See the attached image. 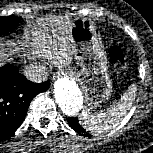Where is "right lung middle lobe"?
Returning <instances> with one entry per match:
<instances>
[{"mask_svg":"<svg viewBox=\"0 0 153 153\" xmlns=\"http://www.w3.org/2000/svg\"><path fill=\"white\" fill-rule=\"evenodd\" d=\"M20 20L21 18H17L13 15L8 17H0V36L13 30Z\"/></svg>","mask_w":153,"mask_h":153,"instance_id":"1","label":"right lung middle lobe"}]
</instances>
